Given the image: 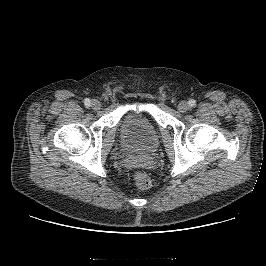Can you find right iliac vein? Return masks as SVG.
Returning <instances> with one entry per match:
<instances>
[{
  "instance_id": "63e3f726",
  "label": "right iliac vein",
  "mask_w": 266,
  "mask_h": 266,
  "mask_svg": "<svg viewBox=\"0 0 266 266\" xmlns=\"http://www.w3.org/2000/svg\"><path fill=\"white\" fill-rule=\"evenodd\" d=\"M90 106L93 110H99L101 107V104L98 100H92L90 103Z\"/></svg>"
}]
</instances>
